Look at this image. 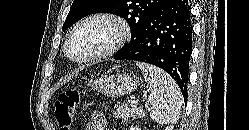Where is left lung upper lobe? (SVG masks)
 Wrapping results in <instances>:
<instances>
[{"instance_id": "left-lung-upper-lobe-1", "label": "left lung upper lobe", "mask_w": 249, "mask_h": 130, "mask_svg": "<svg viewBox=\"0 0 249 130\" xmlns=\"http://www.w3.org/2000/svg\"><path fill=\"white\" fill-rule=\"evenodd\" d=\"M166 2L167 0H74L62 29L67 30L90 14L111 13L127 20L132 42L148 18Z\"/></svg>"}]
</instances>
